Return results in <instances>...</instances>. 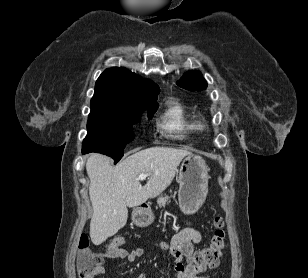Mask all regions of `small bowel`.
Instances as JSON below:
<instances>
[{"label": "small bowel", "instance_id": "small-bowel-1", "mask_svg": "<svg viewBox=\"0 0 308 278\" xmlns=\"http://www.w3.org/2000/svg\"><path fill=\"white\" fill-rule=\"evenodd\" d=\"M201 239L200 232L188 220H185V227L170 242H159L155 245L157 249L167 251L174 258L175 278H209L205 271H201L194 265H184L182 263L183 257H189L194 253V245L200 243ZM146 253L147 251L144 248L127 250L120 247L119 250H105L101 256L103 261L105 258H110L135 262ZM103 272L104 268L102 267L100 274ZM137 278H146V275L141 273Z\"/></svg>", "mask_w": 308, "mask_h": 278}]
</instances>
